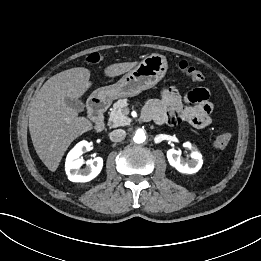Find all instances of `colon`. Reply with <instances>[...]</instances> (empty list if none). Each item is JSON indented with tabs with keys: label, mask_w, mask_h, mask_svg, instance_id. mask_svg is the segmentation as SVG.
<instances>
[{
	"label": "colon",
	"mask_w": 261,
	"mask_h": 261,
	"mask_svg": "<svg viewBox=\"0 0 261 261\" xmlns=\"http://www.w3.org/2000/svg\"><path fill=\"white\" fill-rule=\"evenodd\" d=\"M102 60V55L99 53H91L86 57V61L90 64H96ZM178 67L182 73H184L190 80L194 82H201L204 80L203 73L191 66L186 61H180ZM231 141V134L230 133H222L216 136L213 141V145L216 149L222 150L225 149Z\"/></svg>",
	"instance_id": "colon-1"
}]
</instances>
